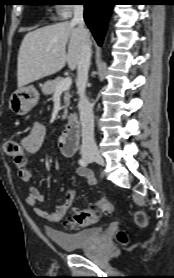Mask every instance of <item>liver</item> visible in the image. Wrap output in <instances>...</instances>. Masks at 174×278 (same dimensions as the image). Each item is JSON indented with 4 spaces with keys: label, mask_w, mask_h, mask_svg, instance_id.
Wrapping results in <instances>:
<instances>
[{
    "label": "liver",
    "mask_w": 174,
    "mask_h": 278,
    "mask_svg": "<svg viewBox=\"0 0 174 278\" xmlns=\"http://www.w3.org/2000/svg\"><path fill=\"white\" fill-rule=\"evenodd\" d=\"M84 39L90 43L88 32L83 33L70 22L57 23L27 33L18 53V88L57 73L66 63L74 70L80 59Z\"/></svg>",
    "instance_id": "liver-1"
}]
</instances>
